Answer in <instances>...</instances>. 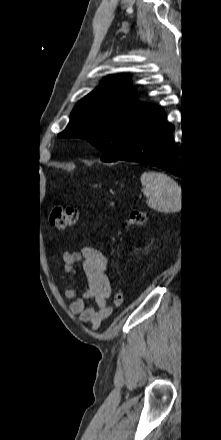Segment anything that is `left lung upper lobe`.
Masks as SVG:
<instances>
[{
  "instance_id": "left-lung-upper-lobe-1",
  "label": "left lung upper lobe",
  "mask_w": 221,
  "mask_h": 440,
  "mask_svg": "<svg viewBox=\"0 0 221 440\" xmlns=\"http://www.w3.org/2000/svg\"><path fill=\"white\" fill-rule=\"evenodd\" d=\"M128 80L122 74L104 79L78 102L68 126L58 136L86 138L102 152V161H117L125 153L135 126L152 108L133 97Z\"/></svg>"
}]
</instances>
